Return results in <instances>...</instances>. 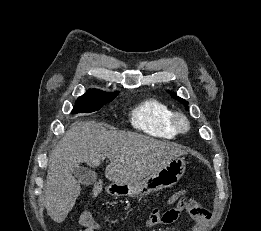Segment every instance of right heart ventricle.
<instances>
[{
    "label": "right heart ventricle",
    "instance_id": "obj_1",
    "mask_svg": "<svg viewBox=\"0 0 261 231\" xmlns=\"http://www.w3.org/2000/svg\"><path fill=\"white\" fill-rule=\"evenodd\" d=\"M173 111L156 99H147L139 103L130 113V122L134 128L148 135L173 139L177 131L172 125Z\"/></svg>",
    "mask_w": 261,
    "mask_h": 231
}]
</instances>
